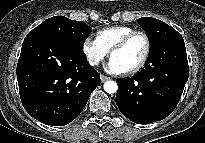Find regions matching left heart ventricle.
<instances>
[{
    "label": "left heart ventricle",
    "mask_w": 205,
    "mask_h": 143,
    "mask_svg": "<svg viewBox=\"0 0 205 143\" xmlns=\"http://www.w3.org/2000/svg\"><path fill=\"white\" fill-rule=\"evenodd\" d=\"M145 52V41L143 37L136 36L129 44L120 51L115 52L112 58L115 59L126 70L135 66L143 57Z\"/></svg>",
    "instance_id": "obj_1"
}]
</instances>
